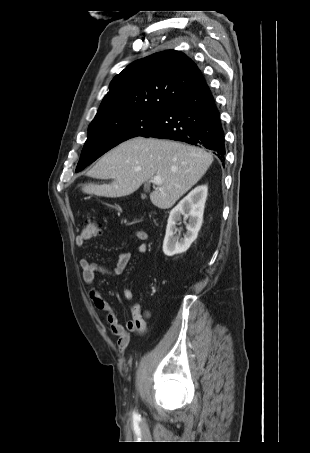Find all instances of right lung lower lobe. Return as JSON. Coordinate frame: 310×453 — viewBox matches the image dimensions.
Returning <instances> with one entry per match:
<instances>
[{"instance_id":"1","label":"right lung lower lobe","mask_w":310,"mask_h":453,"mask_svg":"<svg viewBox=\"0 0 310 453\" xmlns=\"http://www.w3.org/2000/svg\"><path fill=\"white\" fill-rule=\"evenodd\" d=\"M139 136L203 146L224 160L225 139L220 113L205 80L165 108L159 119Z\"/></svg>"}]
</instances>
